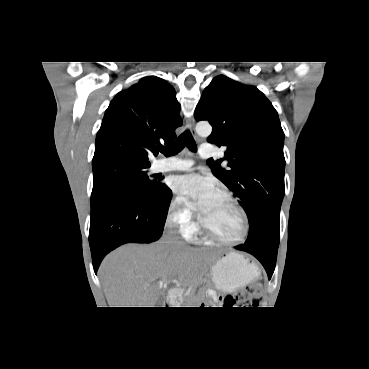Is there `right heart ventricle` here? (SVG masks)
Here are the masks:
<instances>
[{
  "instance_id": "right-heart-ventricle-1",
  "label": "right heart ventricle",
  "mask_w": 369,
  "mask_h": 369,
  "mask_svg": "<svg viewBox=\"0 0 369 369\" xmlns=\"http://www.w3.org/2000/svg\"><path fill=\"white\" fill-rule=\"evenodd\" d=\"M197 233V229L195 228L190 234H187L188 236H192L193 234Z\"/></svg>"
}]
</instances>
